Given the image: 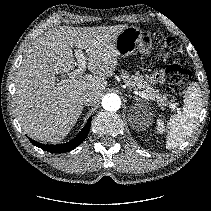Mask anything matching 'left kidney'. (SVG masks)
<instances>
[{
  "label": "left kidney",
  "instance_id": "5707ae66",
  "mask_svg": "<svg viewBox=\"0 0 211 211\" xmlns=\"http://www.w3.org/2000/svg\"><path fill=\"white\" fill-rule=\"evenodd\" d=\"M141 123H142L141 124L142 128L148 127L151 124V116H148L146 118V120ZM163 131H164V123L161 119H158L157 120V132L161 134V133H163Z\"/></svg>",
  "mask_w": 211,
  "mask_h": 211
}]
</instances>
